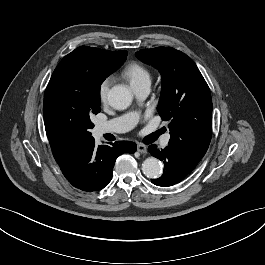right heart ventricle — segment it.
<instances>
[{"instance_id":"1","label":"right heart ventricle","mask_w":265,"mask_h":265,"mask_svg":"<svg viewBox=\"0 0 265 265\" xmlns=\"http://www.w3.org/2000/svg\"><path fill=\"white\" fill-rule=\"evenodd\" d=\"M122 75L129 81L132 88L147 82L151 83L149 70L136 62L129 63L124 68Z\"/></svg>"}]
</instances>
